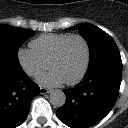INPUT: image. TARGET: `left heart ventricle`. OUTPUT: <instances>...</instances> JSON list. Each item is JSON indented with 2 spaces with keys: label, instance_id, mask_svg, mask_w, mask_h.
<instances>
[{
  "label": "left heart ventricle",
  "instance_id": "b2bd125f",
  "mask_svg": "<svg viewBox=\"0 0 128 128\" xmlns=\"http://www.w3.org/2000/svg\"><path fill=\"white\" fill-rule=\"evenodd\" d=\"M85 46L79 39L71 40L62 55L50 69L56 71L64 81L74 79L81 72L85 62Z\"/></svg>",
  "mask_w": 128,
  "mask_h": 128
}]
</instances>
